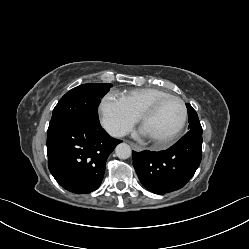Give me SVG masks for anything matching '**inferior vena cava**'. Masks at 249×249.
<instances>
[{
  "mask_svg": "<svg viewBox=\"0 0 249 249\" xmlns=\"http://www.w3.org/2000/svg\"><path fill=\"white\" fill-rule=\"evenodd\" d=\"M108 132L114 137H122L126 135V130L119 127H111Z\"/></svg>",
  "mask_w": 249,
  "mask_h": 249,
  "instance_id": "obj_1",
  "label": "inferior vena cava"
}]
</instances>
